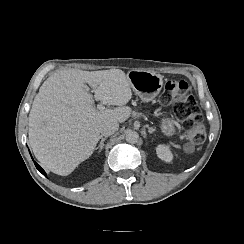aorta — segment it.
<instances>
[{
	"label": "aorta",
	"mask_w": 244,
	"mask_h": 244,
	"mask_svg": "<svg viewBox=\"0 0 244 244\" xmlns=\"http://www.w3.org/2000/svg\"><path fill=\"white\" fill-rule=\"evenodd\" d=\"M126 141L128 143L134 144L137 143L139 140V134L138 132L134 131V130H129L127 131L126 135H125Z\"/></svg>",
	"instance_id": "aorta-1"
}]
</instances>
